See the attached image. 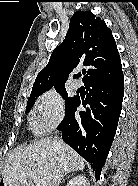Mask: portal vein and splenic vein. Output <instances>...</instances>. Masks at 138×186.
Listing matches in <instances>:
<instances>
[{
    "instance_id": "18ae733b",
    "label": "portal vein and splenic vein",
    "mask_w": 138,
    "mask_h": 186,
    "mask_svg": "<svg viewBox=\"0 0 138 186\" xmlns=\"http://www.w3.org/2000/svg\"><path fill=\"white\" fill-rule=\"evenodd\" d=\"M28 176L33 179V181L35 182L36 186H46V183L44 181H42L41 179H39L37 177V175L35 173H29ZM24 179L22 178L21 181H23Z\"/></svg>"
}]
</instances>
